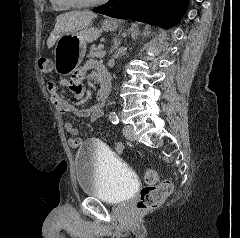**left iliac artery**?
<instances>
[{"instance_id":"left-iliac-artery-1","label":"left iliac artery","mask_w":240,"mask_h":238,"mask_svg":"<svg viewBox=\"0 0 240 238\" xmlns=\"http://www.w3.org/2000/svg\"><path fill=\"white\" fill-rule=\"evenodd\" d=\"M110 121L113 123V124H118L119 123V118L118 116L114 113V114H111L110 115Z\"/></svg>"}]
</instances>
